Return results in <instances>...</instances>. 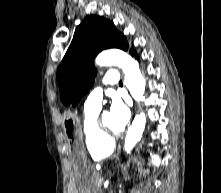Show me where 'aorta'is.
<instances>
[{
    "mask_svg": "<svg viewBox=\"0 0 221 193\" xmlns=\"http://www.w3.org/2000/svg\"><path fill=\"white\" fill-rule=\"evenodd\" d=\"M98 66H117L125 74L124 83L130 94L136 101L143 98L145 91V79L139 69V64L131 56L119 49H110L101 52L96 60ZM146 125V115L142 112L135 116L132 125L128 128L124 149L127 153L134 148L141 139Z\"/></svg>",
    "mask_w": 221,
    "mask_h": 193,
    "instance_id": "obj_1",
    "label": "aorta"
}]
</instances>
